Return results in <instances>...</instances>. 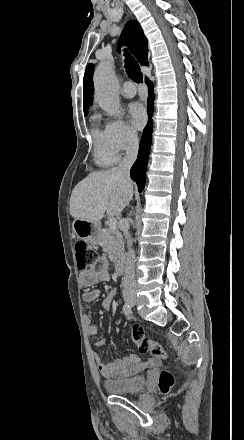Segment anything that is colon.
<instances>
[{
	"label": "colon",
	"instance_id": "1",
	"mask_svg": "<svg viewBox=\"0 0 244 440\" xmlns=\"http://www.w3.org/2000/svg\"><path fill=\"white\" fill-rule=\"evenodd\" d=\"M76 266L79 271H84L89 265L96 264L99 259L98 251L89 249L85 241H78L75 244ZM132 339L137 344L141 354H149L156 358H167L168 354L162 345L145 336L140 325H133ZM172 383V376L168 373L161 375L159 379V387L162 393H167Z\"/></svg>",
	"mask_w": 244,
	"mask_h": 440
}]
</instances>
